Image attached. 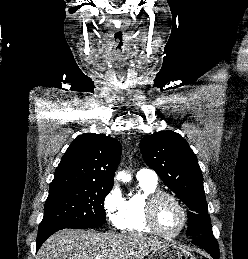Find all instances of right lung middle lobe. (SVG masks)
I'll use <instances>...</instances> for the list:
<instances>
[{
  "label": "right lung middle lobe",
  "mask_w": 248,
  "mask_h": 259,
  "mask_svg": "<svg viewBox=\"0 0 248 259\" xmlns=\"http://www.w3.org/2000/svg\"><path fill=\"white\" fill-rule=\"evenodd\" d=\"M112 185H50L38 232L93 228L106 223L104 199Z\"/></svg>",
  "instance_id": "1"
}]
</instances>
